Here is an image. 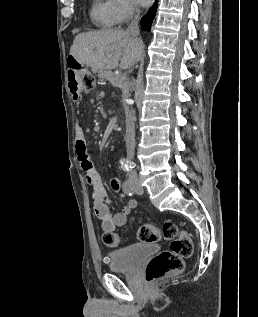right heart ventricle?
Instances as JSON below:
<instances>
[{
    "label": "right heart ventricle",
    "instance_id": "1",
    "mask_svg": "<svg viewBox=\"0 0 258 317\" xmlns=\"http://www.w3.org/2000/svg\"><path fill=\"white\" fill-rule=\"evenodd\" d=\"M112 0H96L90 10L91 21L99 28L107 29L113 26Z\"/></svg>",
    "mask_w": 258,
    "mask_h": 317
}]
</instances>
